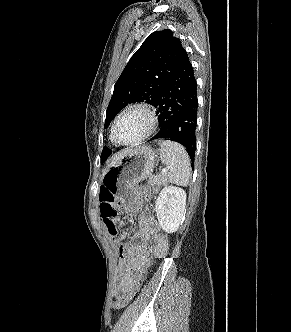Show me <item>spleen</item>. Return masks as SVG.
<instances>
[{
	"label": "spleen",
	"instance_id": "3e777b00",
	"mask_svg": "<svg viewBox=\"0 0 291 332\" xmlns=\"http://www.w3.org/2000/svg\"><path fill=\"white\" fill-rule=\"evenodd\" d=\"M160 159L167 165L165 179L169 183L187 186L191 176V163L185 148L170 140L161 142Z\"/></svg>",
	"mask_w": 291,
	"mask_h": 332
}]
</instances>
